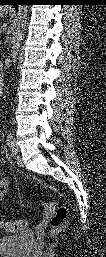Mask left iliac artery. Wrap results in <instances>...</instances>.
<instances>
[{
    "label": "left iliac artery",
    "instance_id": "1",
    "mask_svg": "<svg viewBox=\"0 0 106 257\" xmlns=\"http://www.w3.org/2000/svg\"><path fill=\"white\" fill-rule=\"evenodd\" d=\"M6 142H7L8 147L11 148L12 145H13V136H12L11 132H8V133H7Z\"/></svg>",
    "mask_w": 106,
    "mask_h": 257
}]
</instances>
